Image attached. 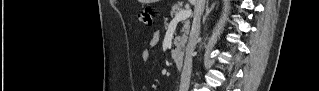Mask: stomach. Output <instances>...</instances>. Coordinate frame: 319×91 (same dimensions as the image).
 <instances>
[{
    "label": "stomach",
    "instance_id": "obj_1",
    "mask_svg": "<svg viewBox=\"0 0 319 91\" xmlns=\"http://www.w3.org/2000/svg\"><path fill=\"white\" fill-rule=\"evenodd\" d=\"M144 1L149 2V1H151V0H144Z\"/></svg>",
    "mask_w": 319,
    "mask_h": 91
}]
</instances>
